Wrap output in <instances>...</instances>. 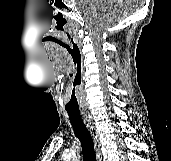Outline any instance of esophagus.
<instances>
[{"label":"esophagus","instance_id":"34e87169","mask_svg":"<svg viewBox=\"0 0 171 161\" xmlns=\"http://www.w3.org/2000/svg\"><path fill=\"white\" fill-rule=\"evenodd\" d=\"M82 117L92 134L97 161H102V156L100 152L99 135H98V130L95 125L94 119L92 115L88 112H82Z\"/></svg>","mask_w":171,"mask_h":161}]
</instances>
